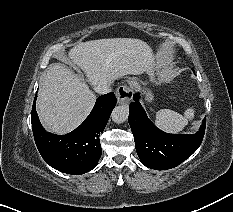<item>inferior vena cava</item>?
Instances as JSON below:
<instances>
[{
  "mask_svg": "<svg viewBox=\"0 0 233 212\" xmlns=\"http://www.w3.org/2000/svg\"><path fill=\"white\" fill-rule=\"evenodd\" d=\"M112 82L103 80L94 86V90L99 94H107L111 91Z\"/></svg>",
  "mask_w": 233,
  "mask_h": 212,
  "instance_id": "obj_1",
  "label": "inferior vena cava"
}]
</instances>
